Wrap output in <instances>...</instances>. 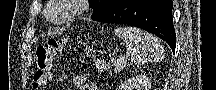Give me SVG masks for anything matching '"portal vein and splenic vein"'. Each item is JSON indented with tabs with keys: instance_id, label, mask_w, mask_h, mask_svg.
I'll use <instances>...</instances> for the list:
<instances>
[{
	"instance_id": "18ae733b",
	"label": "portal vein and splenic vein",
	"mask_w": 216,
	"mask_h": 90,
	"mask_svg": "<svg viewBox=\"0 0 216 90\" xmlns=\"http://www.w3.org/2000/svg\"><path fill=\"white\" fill-rule=\"evenodd\" d=\"M125 64H126V62H125ZM115 66H116L117 70H120V68H123L124 62H117V64L115 62Z\"/></svg>"
}]
</instances>
